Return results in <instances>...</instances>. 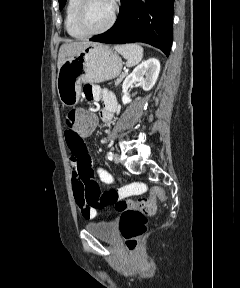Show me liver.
I'll return each instance as SVG.
<instances>
[{
  "label": "liver",
  "instance_id": "liver-1",
  "mask_svg": "<svg viewBox=\"0 0 240 288\" xmlns=\"http://www.w3.org/2000/svg\"><path fill=\"white\" fill-rule=\"evenodd\" d=\"M90 44L91 42L89 41H78L63 44L59 49L58 63H57L58 69H60L63 63L67 61L70 57L81 52Z\"/></svg>",
  "mask_w": 240,
  "mask_h": 288
}]
</instances>
